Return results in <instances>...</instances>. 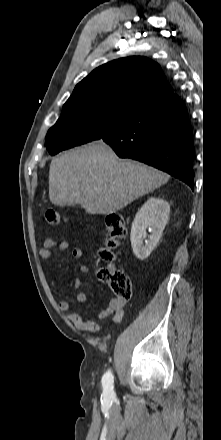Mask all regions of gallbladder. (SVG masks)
<instances>
[{
  "instance_id": "bac80fb5",
  "label": "gallbladder",
  "mask_w": 221,
  "mask_h": 440,
  "mask_svg": "<svg viewBox=\"0 0 221 440\" xmlns=\"http://www.w3.org/2000/svg\"><path fill=\"white\" fill-rule=\"evenodd\" d=\"M76 203H72V202H61L58 205L60 207H64V206H71V205H75Z\"/></svg>"
}]
</instances>
